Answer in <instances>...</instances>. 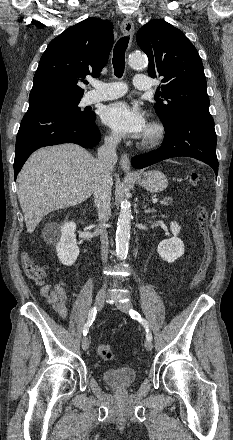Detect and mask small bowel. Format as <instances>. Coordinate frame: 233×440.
<instances>
[{"label": "small bowel", "instance_id": "small-bowel-1", "mask_svg": "<svg viewBox=\"0 0 233 440\" xmlns=\"http://www.w3.org/2000/svg\"><path fill=\"white\" fill-rule=\"evenodd\" d=\"M39 286L40 295L47 300L58 316L65 319L68 311L66 307L67 294L63 285L60 283L50 285L40 282Z\"/></svg>", "mask_w": 233, "mask_h": 440}]
</instances>
